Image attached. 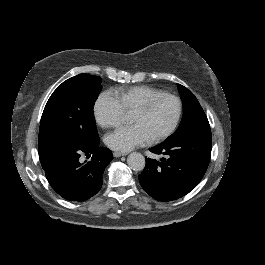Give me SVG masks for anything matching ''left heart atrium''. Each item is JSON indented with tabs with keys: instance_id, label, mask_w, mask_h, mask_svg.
Segmentation results:
<instances>
[{
	"instance_id": "obj_1",
	"label": "left heart atrium",
	"mask_w": 265,
	"mask_h": 265,
	"mask_svg": "<svg viewBox=\"0 0 265 265\" xmlns=\"http://www.w3.org/2000/svg\"><path fill=\"white\" fill-rule=\"evenodd\" d=\"M151 137L142 125L121 127L105 137L106 145L116 151H130L148 143Z\"/></svg>"
}]
</instances>
